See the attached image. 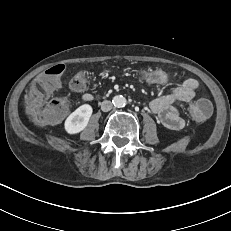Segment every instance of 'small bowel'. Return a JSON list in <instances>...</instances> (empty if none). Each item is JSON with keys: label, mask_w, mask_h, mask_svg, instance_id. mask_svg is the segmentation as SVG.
I'll list each match as a JSON object with an SVG mask.
<instances>
[{"label": "small bowel", "mask_w": 231, "mask_h": 231, "mask_svg": "<svg viewBox=\"0 0 231 231\" xmlns=\"http://www.w3.org/2000/svg\"><path fill=\"white\" fill-rule=\"evenodd\" d=\"M198 87L197 80L193 78L185 80L172 92L152 100L149 104L150 112L157 117L160 124L168 129L179 130L183 128L185 122L176 107V103H188L194 100ZM81 99L90 102L94 99V96L90 93H82Z\"/></svg>", "instance_id": "small-bowel-1"}]
</instances>
